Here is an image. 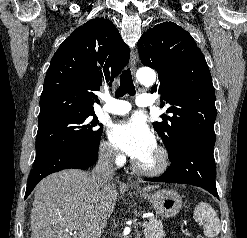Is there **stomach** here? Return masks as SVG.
<instances>
[{"label": "stomach", "instance_id": "stomach-1", "mask_svg": "<svg viewBox=\"0 0 247 238\" xmlns=\"http://www.w3.org/2000/svg\"><path fill=\"white\" fill-rule=\"evenodd\" d=\"M142 198L150 201L156 213L163 218H171L178 214L182 207L181 196L170 189H160L153 194L139 191Z\"/></svg>", "mask_w": 247, "mask_h": 238}]
</instances>
